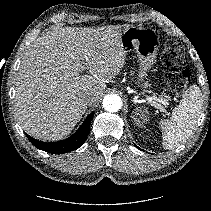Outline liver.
Returning a JSON list of instances; mask_svg holds the SVG:
<instances>
[{"instance_id": "liver-1", "label": "liver", "mask_w": 211, "mask_h": 211, "mask_svg": "<svg viewBox=\"0 0 211 211\" xmlns=\"http://www.w3.org/2000/svg\"><path fill=\"white\" fill-rule=\"evenodd\" d=\"M124 30L56 27L36 39L15 78V113L27 134L58 141L71 133L90 106L82 97L92 95L94 105L122 70Z\"/></svg>"}]
</instances>
